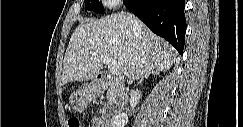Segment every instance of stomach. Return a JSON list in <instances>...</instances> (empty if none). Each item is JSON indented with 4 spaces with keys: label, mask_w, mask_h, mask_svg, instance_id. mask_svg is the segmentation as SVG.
Segmentation results:
<instances>
[{
    "label": "stomach",
    "mask_w": 243,
    "mask_h": 127,
    "mask_svg": "<svg viewBox=\"0 0 243 127\" xmlns=\"http://www.w3.org/2000/svg\"><path fill=\"white\" fill-rule=\"evenodd\" d=\"M97 93V87L94 84H84L69 97L71 108L77 112H82L87 107L89 100Z\"/></svg>",
    "instance_id": "stomach-1"
}]
</instances>
